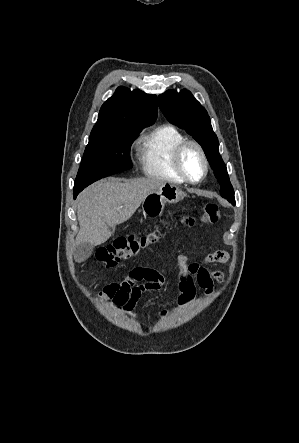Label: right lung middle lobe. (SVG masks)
Returning a JSON list of instances; mask_svg holds the SVG:
<instances>
[{
  "instance_id": "1",
  "label": "right lung middle lobe",
  "mask_w": 299,
  "mask_h": 443,
  "mask_svg": "<svg viewBox=\"0 0 299 443\" xmlns=\"http://www.w3.org/2000/svg\"><path fill=\"white\" fill-rule=\"evenodd\" d=\"M119 129L90 136L79 168L74 192L93 182L133 167L130 146L142 128Z\"/></svg>"
}]
</instances>
